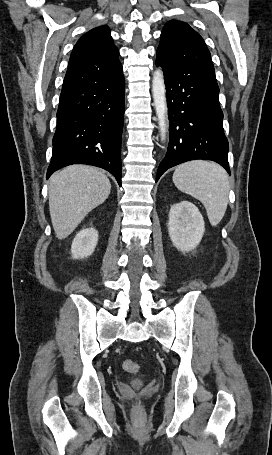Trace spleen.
Segmentation results:
<instances>
[{
    "instance_id": "1",
    "label": "spleen",
    "mask_w": 272,
    "mask_h": 455,
    "mask_svg": "<svg viewBox=\"0 0 272 455\" xmlns=\"http://www.w3.org/2000/svg\"><path fill=\"white\" fill-rule=\"evenodd\" d=\"M175 186L202 202L211 225L222 220L228 204L229 181L226 171L208 161H190L179 165L173 174Z\"/></svg>"
}]
</instances>
